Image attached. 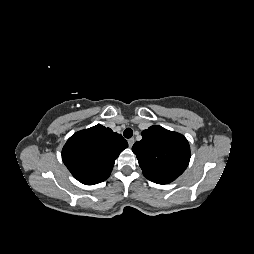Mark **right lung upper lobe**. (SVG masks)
Listing matches in <instances>:
<instances>
[{
    "label": "right lung upper lobe",
    "instance_id": "right-lung-upper-lobe-1",
    "mask_svg": "<svg viewBox=\"0 0 254 254\" xmlns=\"http://www.w3.org/2000/svg\"><path fill=\"white\" fill-rule=\"evenodd\" d=\"M128 147L121 134L96 125L73 134L62 149V160L71 174L85 185L105 181L115 159Z\"/></svg>",
    "mask_w": 254,
    "mask_h": 254
}]
</instances>
